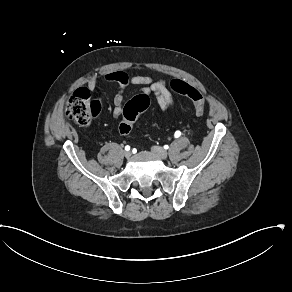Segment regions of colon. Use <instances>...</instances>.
<instances>
[{
  "instance_id": "obj_1",
  "label": "colon",
  "mask_w": 292,
  "mask_h": 292,
  "mask_svg": "<svg viewBox=\"0 0 292 292\" xmlns=\"http://www.w3.org/2000/svg\"><path fill=\"white\" fill-rule=\"evenodd\" d=\"M170 85L176 93L191 98L195 103V115L198 118L204 116V97L199 92L180 79L172 80ZM150 105V98L145 94H138L127 101L122 109V119L118 127L120 133L126 136L132 134L139 113L146 111ZM100 110L101 102L93 99L90 92L85 88L76 89L70 95L65 106L66 115L83 126L89 125L92 118L98 115Z\"/></svg>"
}]
</instances>
